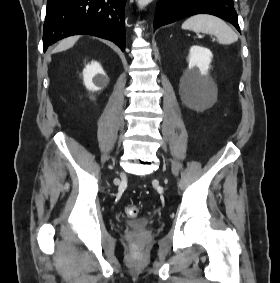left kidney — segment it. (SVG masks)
Instances as JSON below:
<instances>
[{"instance_id":"1","label":"left kidney","mask_w":280,"mask_h":283,"mask_svg":"<svg viewBox=\"0 0 280 283\" xmlns=\"http://www.w3.org/2000/svg\"><path fill=\"white\" fill-rule=\"evenodd\" d=\"M212 58L213 54L209 49L193 45L189 50V68L197 67L201 75H207Z\"/></svg>"}]
</instances>
